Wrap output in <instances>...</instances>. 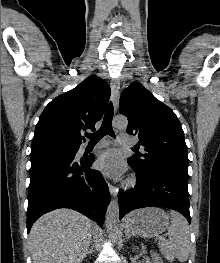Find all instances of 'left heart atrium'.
<instances>
[{"label":"left heart atrium","instance_id":"39dd6f15","mask_svg":"<svg viewBox=\"0 0 220 263\" xmlns=\"http://www.w3.org/2000/svg\"><path fill=\"white\" fill-rule=\"evenodd\" d=\"M97 169L106 176L117 177L124 171L121 155L115 150H107L100 154L96 160Z\"/></svg>","mask_w":220,"mask_h":263}]
</instances>
